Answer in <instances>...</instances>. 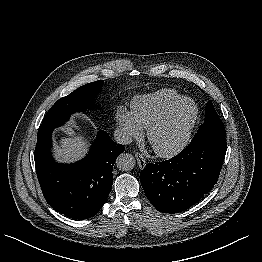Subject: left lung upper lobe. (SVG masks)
<instances>
[{
	"label": "left lung upper lobe",
	"instance_id": "5c2ea615",
	"mask_svg": "<svg viewBox=\"0 0 262 262\" xmlns=\"http://www.w3.org/2000/svg\"><path fill=\"white\" fill-rule=\"evenodd\" d=\"M205 121L199 127L191 142H197L208 138H225V128L219 118L212 101L206 104Z\"/></svg>",
	"mask_w": 262,
	"mask_h": 262
}]
</instances>
